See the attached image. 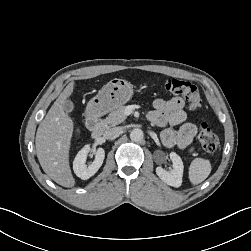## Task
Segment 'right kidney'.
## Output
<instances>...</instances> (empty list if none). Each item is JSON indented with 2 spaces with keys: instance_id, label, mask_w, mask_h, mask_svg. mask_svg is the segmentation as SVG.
Wrapping results in <instances>:
<instances>
[{
  "instance_id": "1",
  "label": "right kidney",
  "mask_w": 251,
  "mask_h": 251,
  "mask_svg": "<svg viewBox=\"0 0 251 251\" xmlns=\"http://www.w3.org/2000/svg\"><path fill=\"white\" fill-rule=\"evenodd\" d=\"M91 152L89 145H85L76 155L73 161V170L76 176L83 180H87L92 177L101 167L105 158V151L103 148H98L95 152L94 161L87 166L86 159L88 153Z\"/></svg>"
}]
</instances>
